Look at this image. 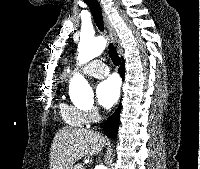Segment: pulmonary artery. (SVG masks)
Listing matches in <instances>:
<instances>
[{
  "instance_id": "obj_1",
  "label": "pulmonary artery",
  "mask_w": 200,
  "mask_h": 169,
  "mask_svg": "<svg viewBox=\"0 0 200 169\" xmlns=\"http://www.w3.org/2000/svg\"><path fill=\"white\" fill-rule=\"evenodd\" d=\"M82 72L95 78H103L109 74V68L102 60L96 59L84 65Z\"/></svg>"
}]
</instances>
